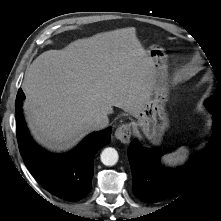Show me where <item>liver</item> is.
Returning a JSON list of instances; mask_svg holds the SVG:
<instances>
[{
	"label": "liver",
	"mask_w": 221,
	"mask_h": 221,
	"mask_svg": "<svg viewBox=\"0 0 221 221\" xmlns=\"http://www.w3.org/2000/svg\"><path fill=\"white\" fill-rule=\"evenodd\" d=\"M153 59L134 27L79 39L39 55L22 84L24 112L34 138L66 151L93 128L97 113L112 107L136 115L153 85Z\"/></svg>",
	"instance_id": "obj_1"
}]
</instances>
